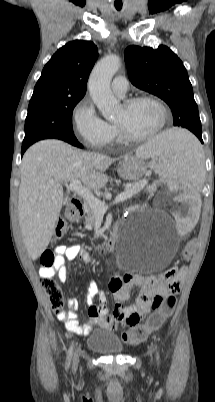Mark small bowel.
<instances>
[{
	"label": "small bowel",
	"instance_id": "c3829d8e",
	"mask_svg": "<svg viewBox=\"0 0 215 402\" xmlns=\"http://www.w3.org/2000/svg\"><path fill=\"white\" fill-rule=\"evenodd\" d=\"M79 255L85 263H89L92 260L87 250L79 244L57 246L55 249V264L51 268L41 267L39 270L40 276L42 278L56 276L60 282H65L69 273L65 265L66 260L72 261ZM75 266H78V264H75ZM183 281V270L169 279L162 275L158 277L139 274H127L123 277L116 275L110 281L108 290L113 294L117 306L114 313L109 315L107 294L99 288L95 281L91 280L86 295V302L89 305V319L84 323L79 321L77 314L79 304L74 298L69 299V310L64 314L58 315V318L64 322L69 332L78 335H87L92 327L97 324L107 329H113L118 325L133 326L153 308L155 296L163 297L178 293ZM133 287L140 288L136 304L122 307L121 304L130 298V291ZM96 296L99 300L98 306L93 305V299Z\"/></svg>",
	"mask_w": 215,
	"mask_h": 402
}]
</instances>
